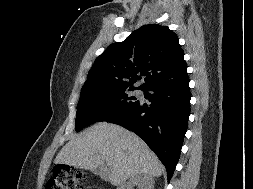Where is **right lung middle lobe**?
I'll return each instance as SVG.
<instances>
[{"label":"right lung middle lobe","instance_id":"obj_1","mask_svg":"<svg viewBox=\"0 0 253 189\" xmlns=\"http://www.w3.org/2000/svg\"><path fill=\"white\" fill-rule=\"evenodd\" d=\"M136 88L107 86L81 92L77 105L75 130L79 132L85 126L99 121H106L130 110L137 105L134 97H129L128 90Z\"/></svg>","mask_w":253,"mask_h":189}]
</instances>
